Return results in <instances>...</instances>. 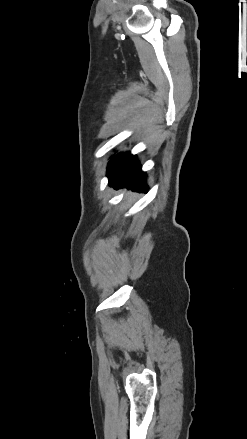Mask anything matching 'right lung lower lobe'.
I'll return each mask as SVG.
<instances>
[{"label":"right lung lower lobe","mask_w":247,"mask_h":439,"mask_svg":"<svg viewBox=\"0 0 247 439\" xmlns=\"http://www.w3.org/2000/svg\"><path fill=\"white\" fill-rule=\"evenodd\" d=\"M109 183L116 188L128 186L133 189H145V173L130 153H121L113 157L108 166Z\"/></svg>","instance_id":"right-lung-lower-lobe-1"}]
</instances>
